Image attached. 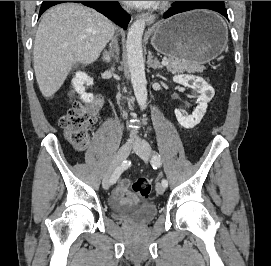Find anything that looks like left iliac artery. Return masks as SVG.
<instances>
[{"mask_svg": "<svg viewBox=\"0 0 271 266\" xmlns=\"http://www.w3.org/2000/svg\"><path fill=\"white\" fill-rule=\"evenodd\" d=\"M151 165L154 169H157L161 166V159L160 156L158 154H154L152 159H151ZM162 185L164 187L168 186V182L166 179H162Z\"/></svg>", "mask_w": 271, "mask_h": 266, "instance_id": "44dca946", "label": "left iliac artery"}]
</instances>
